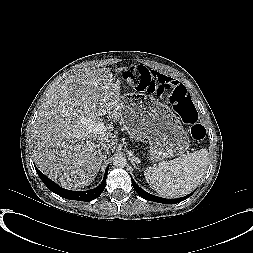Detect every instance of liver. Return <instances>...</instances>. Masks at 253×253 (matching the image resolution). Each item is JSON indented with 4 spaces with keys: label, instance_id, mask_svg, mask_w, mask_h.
I'll return each mask as SVG.
<instances>
[{
    "label": "liver",
    "instance_id": "6515ba94",
    "mask_svg": "<svg viewBox=\"0 0 253 253\" xmlns=\"http://www.w3.org/2000/svg\"><path fill=\"white\" fill-rule=\"evenodd\" d=\"M126 68H117L121 73ZM120 79L109 68H84L57 85L32 128L37 167L64 188L89 186L105 157V145L116 147L117 136L89 133L81 118L121 119Z\"/></svg>",
    "mask_w": 253,
    "mask_h": 253
}]
</instances>
